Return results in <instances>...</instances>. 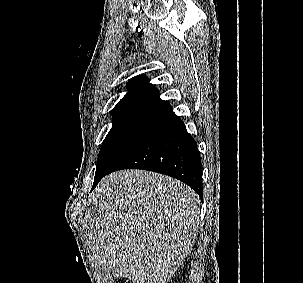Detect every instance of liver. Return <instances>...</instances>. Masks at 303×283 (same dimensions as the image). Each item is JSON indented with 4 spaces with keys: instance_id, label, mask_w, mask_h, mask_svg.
Returning a JSON list of instances; mask_svg holds the SVG:
<instances>
[{
    "instance_id": "liver-1",
    "label": "liver",
    "mask_w": 303,
    "mask_h": 283,
    "mask_svg": "<svg viewBox=\"0 0 303 283\" xmlns=\"http://www.w3.org/2000/svg\"><path fill=\"white\" fill-rule=\"evenodd\" d=\"M201 202L188 186L143 170L105 176L86 211L91 250L107 275L167 283L189 255Z\"/></svg>"
}]
</instances>
